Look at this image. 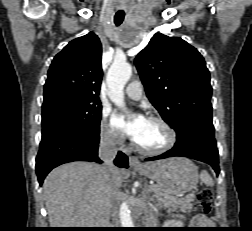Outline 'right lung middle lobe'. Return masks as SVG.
<instances>
[{
    "instance_id": "right-lung-middle-lobe-1",
    "label": "right lung middle lobe",
    "mask_w": 252,
    "mask_h": 231,
    "mask_svg": "<svg viewBox=\"0 0 252 231\" xmlns=\"http://www.w3.org/2000/svg\"><path fill=\"white\" fill-rule=\"evenodd\" d=\"M42 137L60 130L99 134L102 107L97 99L60 94L44 99Z\"/></svg>"
}]
</instances>
